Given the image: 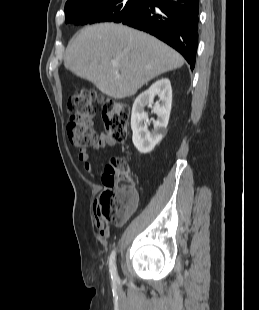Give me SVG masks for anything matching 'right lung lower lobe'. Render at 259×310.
Returning a JSON list of instances; mask_svg holds the SVG:
<instances>
[{
  "mask_svg": "<svg viewBox=\"0 0 259 310\" xmlns=\"http://www.w3.org/2000/svg\"><path fill=\"white\" fill-rule=\"evenodd\" d=\"M199 0H147L144 7L119 23L148 32L164 41L195 66Z\"/></svg>",
  "mask_w": 259,
  "mask_h": 310,
  "instance_id": "98d812e1",
  "label": "right lung lower lobe"
}]
</instances>
